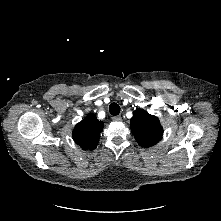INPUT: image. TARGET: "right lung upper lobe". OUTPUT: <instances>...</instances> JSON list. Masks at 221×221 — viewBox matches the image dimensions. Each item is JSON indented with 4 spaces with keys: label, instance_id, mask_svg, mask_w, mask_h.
Masks as SVG:
<instances>
[{
    "label": "right lung upper lobe",
    "instance_id": "1",
    "mask_svg": "<svg viewBox=\"0 0 221 221\" xmlns=\"http://www.w3.org/2000/svg\"><path fill=\"white\" fill-rule=\"evenodd\" d=\"M103 125L104 123L94 114H89L73 129L74 141L84 150H94L99 142Z\"/></svg>",
    "mask_w": 221,
    "mask_h": 221
}]
</instances>
